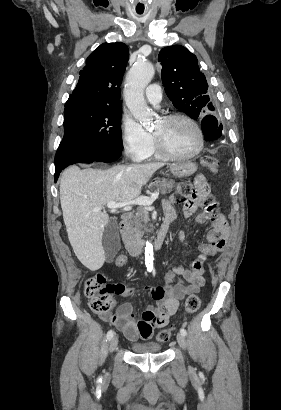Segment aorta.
<instances>
[{
	"label": "aorta",
	"instance_id": "1",
	"mask_svg": "<svg viewBox=\"0 0 281 410\" xmlns=\"http://www.w3.org/2000/svg\"><path fill=\"white\" fill-rule=\"evenodd\" d=\"M155 74L154 66L148 62H138L129 71L126 78L125 101L131 114L143 126L153 121V113L149 110L144 99V89L151 82ZM154 262L153 245L150 241L145 245V265L152 271Z\"/></svg>",
	"mask_w": 281,
	"mask_h": 410
}]
</instances>
